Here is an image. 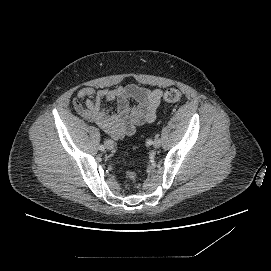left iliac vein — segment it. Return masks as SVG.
Segmentation results:
<instances>
[{"label":"left iliac vein","mask_w":271,"mask_h":271,"mask_svg":"<svg viewBox=\"0 0 271 271\" xmlns=\"http://www.w3.org/2000/svg\"><path fill=\"white\" fill-rule=\"evenodd\" d=\"M153 146H154L155 148H159V147L161 146V139H160V138H156V139L154 140Z\"/></svg>","instance_id":"1"}]
</instances>
